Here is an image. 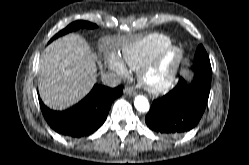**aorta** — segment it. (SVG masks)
Masks as SVG:
<instances>
[{
    "label": "aorta",
    "mask_w": 249,
    "mask_h": 165,
    "mask_svg": "<svg viewBox=\"0 0 249 165\" xmlns=\"http://www.w3.org/2000/svg\"><path fill=\"white\" fill-rule=\"evenodd\" d=\"M134 106L140 112H147L150 108L148 99L143 95H138L135 97Z\"/></svg>",
    "instance_id": "762f6f07"
}]
</instances>
